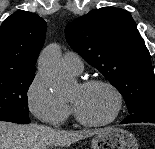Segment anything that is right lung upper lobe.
<instances>
[{
    "mask_svg": "<svg viewBox=\"0 0 155 149\" xmlns=\"http://www.w3.org/2000/svg\"><path fill=\"white\" fill-rule=\"evenodd\" d=\"M46 29L41 17L23 10L5 19L0 27V74L35 72Z\"/></svg>",
    "mask_w": 155,
    "mask_h": 149,
    "instance_id": "right-lung-upper-lobe-1",
    "label": "right lung upper lobe"
}]
</instances>
